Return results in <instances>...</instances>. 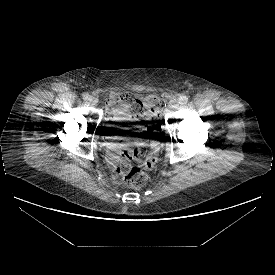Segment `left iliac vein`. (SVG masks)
<instances>
[{"instance_id": "obj_1", "label": "left iliac vein", "mask_w": 275, "mask_h": 275, "mask_svg": "<svg viewBox=\"0 0 275 275\" xmlns=\"http://www.w3.org/2000/svg\"><path fill=\"white\" fill-rule=\"evenodd\" d=\"M179 104L178 101L176 99H172L170 100V102L168 103L166 109L164 110L165 113H171L173 111H175L178 108Z\"/></svg>"}]
</instances>
